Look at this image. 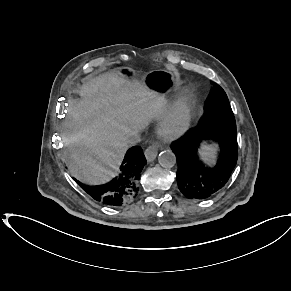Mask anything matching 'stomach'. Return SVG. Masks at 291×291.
Here are the masks:
<instances>
[{
	"instance_id": "obj_1",
	"label": "stomach",
	"mask_w": 291,
	"mask_h": 291,
	"mask_svg": "<svg viewBox=\"0 0 291 291\" xmlns=\"http://www.w3.org/2000/svg\"><path fill=\"white\" fill-rule=\"evenodd\" d=\"M119 70L123 77H140L148 89L161 95H168L178 89V75L174 71L157 69L145 74H140L128 67H123Z\"/></svg>"
}]
</instances>
